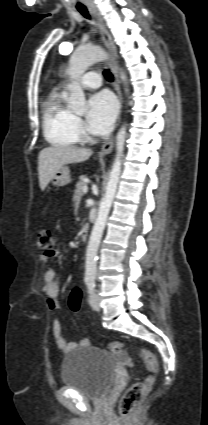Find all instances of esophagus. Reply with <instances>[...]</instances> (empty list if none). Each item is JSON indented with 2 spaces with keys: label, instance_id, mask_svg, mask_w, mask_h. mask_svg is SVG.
Wrapping results in <instances>:
<instances>
[{
  "label": "esophagus",
  "instance_id": "34e87169",
  "mask_svg": "<svg viewBox=\"0 0 208 425\" xmlns=\"http://www.w3.org/2000/svg\"><path fill=\"white\" fill-rule=\"evenodd\" d=\"M89 11L92 13V15L96 18L97 23H98V27L100 30V34L103 40V43L106 47V49L109 52L110 55V61H109V65L111 68V71L113 73L114 76V87L119 99V103H120V108L122 107V93H121V88H120V81H119V76H118V68H117V64H116V47L114 45V42L112 40V37L110 35V33L108 32L104 21L101 17V15L99 14V12L96 10L95 7H90ZM118 126V124H117ZM113 146H114V137L112 136L111 138H109L103 145L102 148L99 152L100 155H107L109 154L112 150H113Z\"/></svg>",
  "mask_w": 208,
  "mask_h": 425
}]
</instances>
